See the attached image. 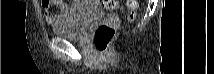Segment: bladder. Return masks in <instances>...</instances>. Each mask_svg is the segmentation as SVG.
<instances>
[{
  "instance_id": "1",
  "label": "bladder",
  "mask_w": 214,
  "mask_h": 74,
  "mask_svg": "<svg viewBox=\"0 0 214 74\" xmlns=\"http://www.w3.org/2000/svg\"><path fill=\"white\" fill-rule=\"evenodd\" d=\"M104 16L105 13L93 2L78 1L58 16L53 30L66 39L84 41L89 29Z\"/></svg>"
}]
</instances>
